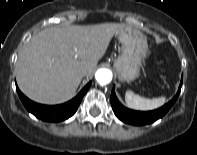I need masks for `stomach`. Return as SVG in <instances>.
Wrapping results in <instances>:
<instances>
[{
	"label": "stomach",
	"instance_id": "obj_1",
	"mask_svg": "<svg viewBox=\"0 0 197 155\" xmlns=\"http://www.w3.org/2000/svg\"><path fill=\"white\" fill-rule=\"evenodd\" d=\"M117 35L121 53L114 62V69L120 81L131 82L139 77L147 53V39L140 31L131 28H124Z\"/></svg>",
	"mask_w": 197,
	"mask_h": 155
}]
</instances>
